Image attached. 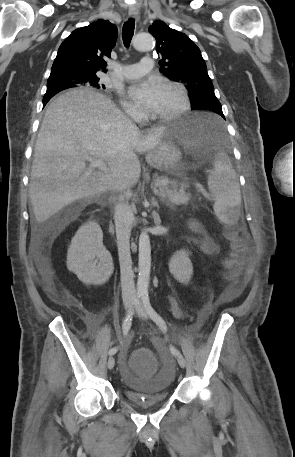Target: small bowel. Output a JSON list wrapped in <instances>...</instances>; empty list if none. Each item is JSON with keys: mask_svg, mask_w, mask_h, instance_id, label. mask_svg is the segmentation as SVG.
I'll use <instances>...</instances> for the list:
<instances>
[{"mask_svg": "<svg viewBox=\"0 0 295 457\" xmlns=\"http://www.w3.org/2000/svg\"><path fill=\"white\" fill-rule=\"evenodd\" d=\"M190 229L199 235L196 243L203 253L212 255L218 251V246L204 234L198 223L192 222L190 224ZM241 290L242 288L239 284L232 283L226 289V296L230 299L235 298L240 294ZM169 300L172 313L176 318H190V315L180 307L177 299L174 296H170ZM156 342L158 341L156 340Z\"/></svg>", "mask_w": 295, "mask_h": 457, "instance_id": "small-bowel-1", "label": "small bowel"}]
</instances>
